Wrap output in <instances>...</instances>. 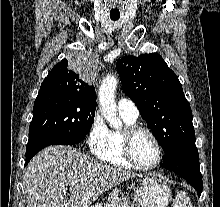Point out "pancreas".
Returning <instances> with one entry per match:
<instances>
[{
	"label": "pancreas",
	"instance_id": "1",
	"mask_svg": "<svg viewBox=\"0 0 220 207\" xmlns=\"http://www.w3.org/2000/svg\"><path fill=\"white\" fill-rule=\"evenodd\" d=\"M101 207H135V205L133 203L123 201L121 198L115 195L110 196L108 198V203L104 204V206Z\"/></svg>",
	"mask_w": 220,
	"mask_h": 207
}]
</instances>
